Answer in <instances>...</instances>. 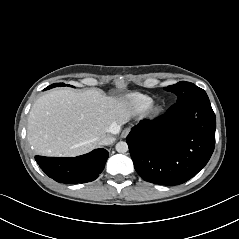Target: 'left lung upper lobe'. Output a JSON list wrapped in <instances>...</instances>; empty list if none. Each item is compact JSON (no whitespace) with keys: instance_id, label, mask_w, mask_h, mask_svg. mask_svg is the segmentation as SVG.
Listing matches in <instances>:
<instances>
[{"instance_id":"5c2ea615","label":"left lung upper lobe","mask_w":239,"mask_h":239,"mask_svg":"<svg viewBox=\"0 0 239 239\" xmlns=\"http://www.w3.org/2000/svg\"><path fill=\"white\" fill-rule=\"evenodd\" d=\"M166 91H171L177 95V102L190 98L199 93L205 92L203 89L197 87L195 84L182 81L177 84L164 88Z\"/></svg>"}]
</instances>
